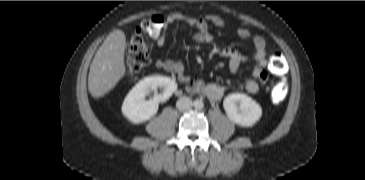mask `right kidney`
Here are the masks:
<instances>
[{"mask_svg":"<svg viewBox=\"0 0 365 180\" xmlns=\"http://www.w3.org/2000/svg\"><path fill=\"white\" fill-rule=\"evenodd\" d=\"M162 92L158 93L157 89ZM177 90L174 80L166 76H150L139 81L125 97L121 111L123 116L134 124H140L152 118L158 111L160 102H166ZM154 93L146 100V96Z\"/></svg>","mask_w":365,"mask_h":180,"instance_id":"1","label":"right kidney"}]
</instances>
